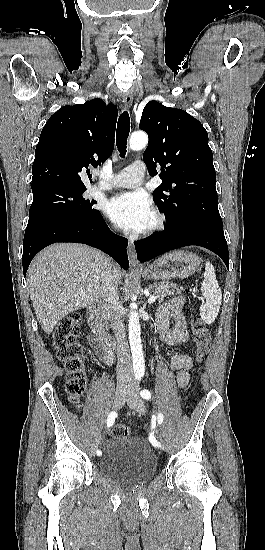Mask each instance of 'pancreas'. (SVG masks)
Here are the masks:
<instances>
[{
	"instance_id": "1",
	"label": "pancreas",
	"mask_w": 265,
	"mask_h": 550,
	"mask_svg": "<svg viewBox=\"0 0 265 550\" xmlns=\"http://www.w3.org/2000/svg\"><path fill=\"white\" fill-rule=\"evenodd\" d=\"M149 289L153 292L154 296L158 298L159 302L164 301L166 297L175 294H181L183 290L173 283H154L152 285H149ZM107 318V313L106 311H104L102 319L105 321V323H107Z\"/></svg>"
}]
</instances>
